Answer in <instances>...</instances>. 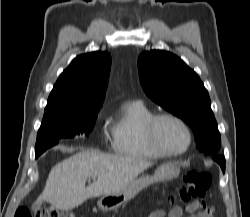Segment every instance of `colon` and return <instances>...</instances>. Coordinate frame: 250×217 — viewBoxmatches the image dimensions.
Here are the masks:
<instances>
[{"label": "colon", "instance_id": "colon-1", "mask_svg": "<svg viewBox=\"0 0 250 217\" xmlns=\"http://www.w3.org/2000/svg\"><path fill=\"white\" fill-rule=\"evenodd\" d=\"M212 176L207 171H188L183 176V184L179 190L171 197V201L185 202L196 205L200 213H207L211 217V208L205 206L202 201L203 196L209 189ZM14 217H71L57 208H44L36 212H31L26 207H20L15 212Z\"/></svg>", "mask_w": 250, "mask_h": 217}]
</instances>
